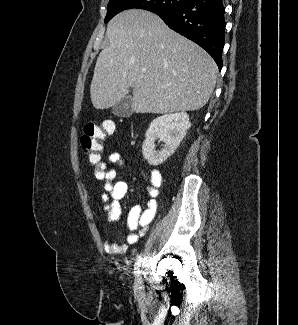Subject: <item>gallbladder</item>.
Listing matches in <instances>:
<instances>
[{
  "mask_svg": "<svg viewBox=\"0 0 298 325\" xmlns=\"http://www.w3.org/2000/svg\"><path fill=\"white\" fill-rule=\"evenodd\" d=\"M130 98L131 96H123L119 102L113 104L112 112L116 114V116H130L131 114V106H130Z\"/></svg>",
  "mask_w": 298,
  "mask_h": 325,
  "instance_id": "obj_1",
  "label": "gallbladder"
}]
</instances>
